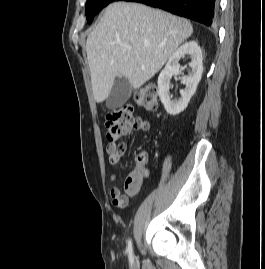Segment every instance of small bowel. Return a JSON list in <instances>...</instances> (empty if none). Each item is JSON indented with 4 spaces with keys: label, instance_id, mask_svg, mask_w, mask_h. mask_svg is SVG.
I'll return each instance as SVG.
<instances>
[{
    "label": "small bowel",
    "instance_id": "c3829d8e",
    "mask_svg": "<svg viewBox=\"0 0 265 269\" xmlns=\"http://www.w3.org/2000/svg\"><path fill=\"white\" fill-rule=\"evenodd\" d=\"M149 128V123L146 121V126L141 131H148ZM106 150L109 155L111 164H118L123 159L124 153L126 151V145L124 143L117 144L115 142H110L107 145ZM111 179L114 180L115 177L112 176ZM142 182L143 178L137 172H131L124 183L125 193H122L117 187L110 189L112 204L118 208H125L128 205L129 200L139 193Z\"/></svg>",
    "mask_w": 265,
    "mask_h": 269
}]
</instances>
